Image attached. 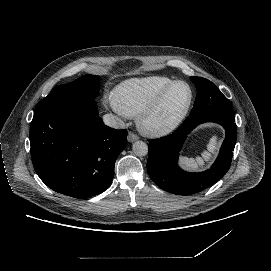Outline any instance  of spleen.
Here are the masks:
<instances>
[{
    "label": "spleen",
    "mask_w": 271,
    "mask_h": 271,
    "mask_svg": "<svg viewBox=\"0 0 271 271\" xmlns=\"http://www.w3.org/2000/svg\"><path fill=\"white\" fill-rule=\"evenodd\" d=\"M216 145H217L216 142H215L214 140H211V144L209 145L208 150H209V151L213 150L214 147H215ZM205 156H206V157H209V154L205 153ZM184 161H185V163H186L188 166H191V167H195V166H196V162H197L198 164H201V163H202V159H201L200 157H197V158H196V161H195L193 158H190V159L184 158Z\"/></svg>",
    "instance_id": "3e777b00"
}]
</instances>
